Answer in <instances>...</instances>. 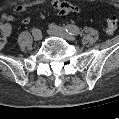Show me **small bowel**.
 Instances as JSON below:
<instances>
[{"label": "small bowel", "mask_w": 119, "mask_h": 119, "mask_svg": "<svg viewBox=\"0 0 119 119\" xmlns=\"http://www.w3.org/2000/svg\"><path fill=\"white\" fill-rule=\"evenodd\" d=\"M52 6L56 10H58V12L62 15L69 14V13H77L80 11L78 6L71 4L69 2H66V1H61V0L52 1ZM27 8H28V4L23 3V4L17 5L14 10L16 13H22V12L26 11ZM2 19L5 21V23L3 25L6 27L7 34L9 36L10 32H11V26H10L9 22L15 20V17L13 15L4 14L2 16ZM21 22L23 24H28L30 22V19L25 17V18L21 19Z\"/></svg>", "instance_id": "1"}]
</instances>
